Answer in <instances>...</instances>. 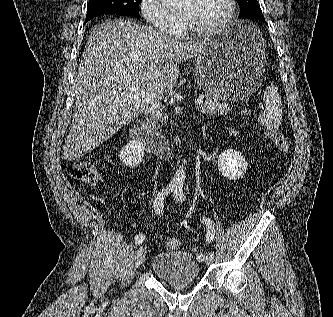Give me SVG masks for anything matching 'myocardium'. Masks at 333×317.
I'll return each mask as SVG.
<instances>
[{
  "label": "myocardium",
  "mask_w": 333,
  "mask_h": 317,
  "mask_svg": "<svg viewBox=\"0 0 333 317\" xmlns=\"http://www.w3.org/2000/svg\"><path fill=\"white\" fill-rule=\"evenodd\" d=\"M227 3V11L223 18L217 22L216 24L209 26L207 28H198L192 25L184 18V26L186 30L196 36H208L215 34L221 30H223L228 24L232 21L235 12H236V1L235 0H226Z\"/></svg>",
  "instance_id": "obj_1"
}]
</instances>
